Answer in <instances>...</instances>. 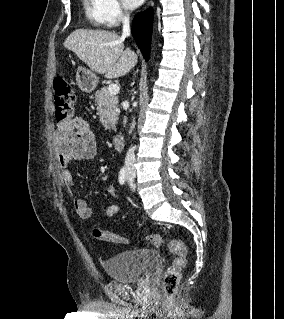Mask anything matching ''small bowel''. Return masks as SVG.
I'll return each mask as SVG.
<instances>
[{"instance_id":"obj_1","label":"small bowel","mask_w":284,"mask_h":319,"mask_svg":"<svg viewBox=\"0 0 284 319\" xmlns=\"http://www.w3.org/2000/svg\"><path fill=\"white\" fill-rule=\"evenodd\" d=\"M54 142L62 180L67 187L72 188L74 180L71 172V162L90 160L96 156L97 143L95 136L86 120L82 117H75L67 122L57 124ZM108 192L113 197L116 196V189L113 185L108 187ZM74 209L81 219L89 220L92 218V210L85 200L75 199ZM118 212L119 206L112 204L106 209V216L112 218Z\"/></svg>"}]
</instances>
